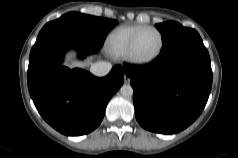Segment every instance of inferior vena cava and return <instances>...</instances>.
Wrapping results in <instances>:
<instances>
[{"instance_id": "obj_1", "label": "inferior vena cava", "mask_w": 238, "mask_h": 158, "mask_svg": "<svg viewBox=\"0 0 238 158\" xmlns=\"http://www.w3.org/2000/svg\"><path fill=\"white\" fill-rule=\"evenodd\" d=\"M111 68V63L99 61L91 66L90 71L95 76L102 77L107 75L110 72Z\"/></svg>"}]
</instances>
